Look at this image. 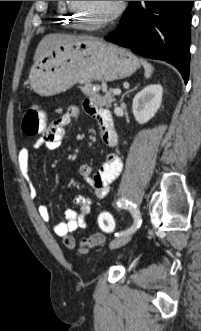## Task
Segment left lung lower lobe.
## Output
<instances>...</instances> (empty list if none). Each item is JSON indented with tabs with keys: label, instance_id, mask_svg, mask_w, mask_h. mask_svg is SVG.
<instances>
[{
	"label": "left lung lower lobe",
	"instance_id": "left-lung-lower-lobe-1",
	"mask_svg": "<svg viewBox=\"0 0 201 331\" xmlns=\"http://www.w3.org/2000/svg\"><path fill=\"white\" fill-rule=\"evenodd\" d=\"M193 1H130L116 31L104 39L174 65L189 78Z\"/></svg>",
	"mask_w": 201,
	"mask_h": 331
}]
</instances>
